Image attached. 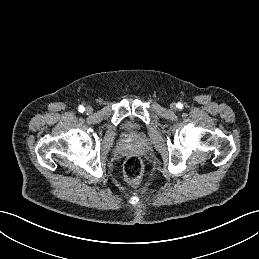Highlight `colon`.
<instances>
[{"label":"colon","instance_id":"1","mask_svg":"<svg viewBox=\"0 0 259 259\" xmlns=\"http://www.w3.org/2000/svg\"><path fill=\"white\" fill-rule=\"evenodd\" d=\"M123 174L127 183L138 184L143 175V164L140 158L137 156L128 157L124 162Z\"/></svg>","mask_w":259,"mask_h":259}]
</instances>
